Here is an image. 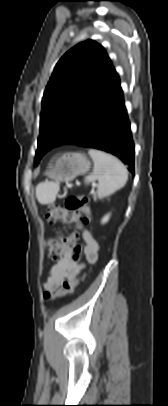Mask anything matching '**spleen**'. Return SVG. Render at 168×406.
<instances>
[{"mask_svg": "<svg viewBox=\"0 0 168 406\" xmlns=\"http://www.w3.org/2000/svg\"><path fill=\"white\" fill-rule=\"evenodd\" d=\"M89 155L93 160L94 167L92 173L86 176L84 181L86 184L98 181L94 200L110 196L126 184L128 172L119 159L96 149H90ZM36 191L39 202L48 204L55 201L59 186L55 182L45 181L37 186Z\"/></svg>", "mask_w": 168, "mask_h": 406, "instance_id": "1", "label": "spleen"}]
</instances>
